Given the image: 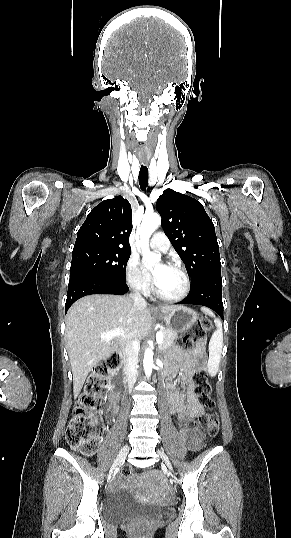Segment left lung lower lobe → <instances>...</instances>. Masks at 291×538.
<instances>
[{
  "label": "left lung lower lobe",
  "instance_id": "0a47b994",
  "mask_svg": "<svg viewBox=\"0 0 291 538\" xmlns=\"http://www.w3.org/2000/svg\"><path fill=\"white\" fill-rule=\"evenodd\" d=\"M177 304L203 305L213 309L224 319L221 271L206 274L197 282L192 283L188 296Z\"/></svg>",
  "mask_w": 291,
  "mask_h": 538
}]
</instances>
